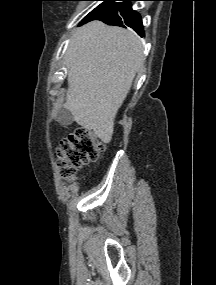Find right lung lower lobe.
<instances>
[{"instance_id": "98d812e1", "label": "right lung lower lobe", "mask_w": 216, "mask_h": 285, "mask_svg": "<svg viewBox=\"0 0 216 285\" xmlns=\"http://www.w3.org/2000/svg\"><path fill=\"white\" fill-rule=\"evenodd\" d=\"M122 2L115 4L113 7L103 12L102 14L93 18L87 19L82 23L89 22L91 20H101L108 25H116L120 27H131L140 36H144V30L140 15L133 11L130 1L135 0H120Z\"/></svg>"}]
</instances>
